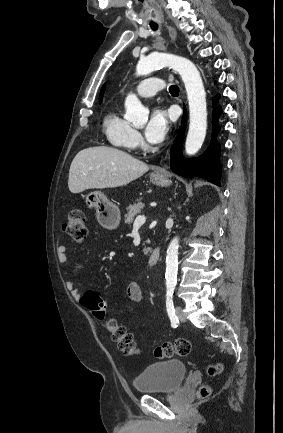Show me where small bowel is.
Wrapping results in <instances>:
<instances>
[{
  "instance_id": "1",
  "label": "small bowel",
  "mask_w": 283,
  "mask_h": 433,
  "mask_svg": "<svg viewBox=\"0 0 283 433\" xmlns=\"http://www.w3.org/2000/svg\"><path fill=\"white\" fill-rule=\"evenodd\" d=\"M57 253V259L61 265H66L68 263V255H67V247L66 245H60L57 247L56 250ZM66 287L70 291L72 297L77 300L81 301L82 295L80 291L78 290L77 286L75 285L74 281L67 280L66 281ZM127 296L129 300L133 303H140L142 301V292L140 289V286L137 282H130L127 286Z\"/></svg>"
}]
</instances>
